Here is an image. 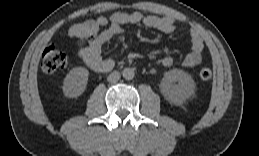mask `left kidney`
Instances as JSON below:
<instances>
[{"instance_id": "5707ae66", "label": "left kidney", "mask_w": 259, "mask_h": 156, "mask_svg": "<svg viewBox=\"0 0 259 156\" xmlns=\"http://www.w3.org/2000/svg\"><path fill=\"white\" fill-rule=\"evenodd\" d=\"M196 84L186 72L173 69L166 72L160 83V91L164 98L180 105L194 95Z\"/></svg>"}]
</instances>
